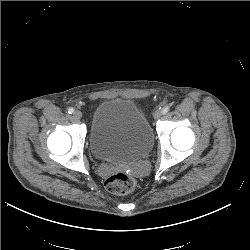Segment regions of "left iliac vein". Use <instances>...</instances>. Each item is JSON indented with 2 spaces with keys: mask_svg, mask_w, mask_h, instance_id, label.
<instances>
[{
  "mask_svg": "<svg viewBox=\"0 0 250 250\" xmlns=\"http://www.w3.org/2000/svg\"><path fill=\"white\" fill-rule=\"evenodd\" d=\"M162 114H163L162 111L158 109L154 112L153 116L155 119H159L162 116Z\"/></svg>",
  "mask_w": 250,
  "mask_h": 250,
  "instance_id": "1",
  "label": "left iliac vein"
}]
</instances>
